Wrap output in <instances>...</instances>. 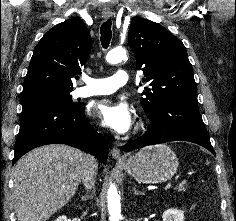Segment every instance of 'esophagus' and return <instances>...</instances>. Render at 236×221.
I'll use <instances>...</instances> for the list:
<instances>
[{
  "label": "esophagus",
  "instance_id": "obj_1",
  "mask_svg": "<svg viewBox=\"0 0 236 221\" xmlns=\"http://www.w3.org/2000/svg\"><path fill=\"white\" fill-rule=\"evenodd\" d=\"M102 15L105 19H108L112 16V11L108 10V9H104L102 11ZM111 155L118 162H123L124 161V158L121 156L120 149L117 146H114L111 149Z\"/></svg>",
  "mask_w": 236,
  "mask_h": 221
}]
</instances>
